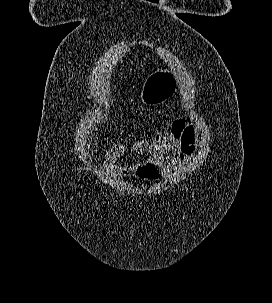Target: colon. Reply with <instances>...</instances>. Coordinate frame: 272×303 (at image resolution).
I'll use <instances>...</instances> for the list:
<instances>
[{"label":"colon","mask_w":272,"mask_h":303,"mask_svg":"<svg viewBox=\"0 0 272 303\" xmlns=\"http://www.w3.org/2000/svg\"><path fill=\"white\" fill-rule=\"evenodd\" d=\"M138 175L142 178L153 180L157 177V169L152 164H146L138 169Z\"/></svg>","instance_id":"1"}]
</instances>
